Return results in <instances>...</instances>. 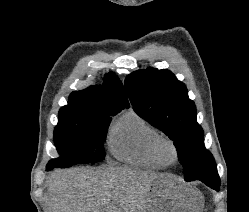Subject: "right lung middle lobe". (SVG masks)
<instances>
[{"label":"right lung middle lobe","mask_w":249,"mask_h":212,"mask_svg":"<svg viewBox=\"0 0 249 212\" xmlns=\"http://www.w3.org/2000/svg\"><path fill=\"white\" fill-rule=\"evenodd\" d=\"M120 111L72 105L62 107L54 130V142L60 157L52 159L47 167H70L102 161L110 116Z\"/></svg>","instance_id":"right-lung-middle-lobe-1"}]
</instances>
